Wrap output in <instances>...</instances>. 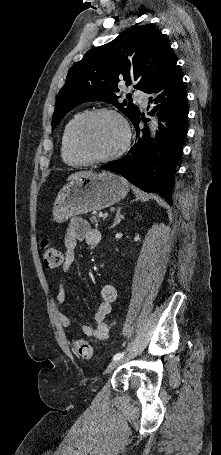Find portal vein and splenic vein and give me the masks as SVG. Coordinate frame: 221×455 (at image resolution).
<instances>
[{"label":"portal vein and splenic vein","instance_id":"18ae733b","mask_svg":"<svg viewBox=\"0 0 221 455\" xmlns=\"http://www.w3.org/2000/svg\"><path fill=\"white\" fill-rule=\"evenodd\" d=\"M99 217L105 219V218L107 217V215H106V214L104 215V214H102V213H99Z\"/></svg>","mask_w":221,"mask_h":455}]
</instances>
